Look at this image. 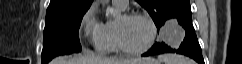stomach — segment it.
<instances>
[{
  "instance_id": "obj_1",
  "label": "stomach",
  "mask_w": 242,
  "mask_h": 64,
  "mask_svg": "<svg viewBox=\"0 0 242 64\" xmlns=\"http://www.w3.org/2000/svg\"><path fill=\"white\" fill-rule=\"evenodd\" d=\"M151 59V58H150ZM145 64H158L154 59H152V62L145 63Z\"/></svg>"
}]
</instances>
